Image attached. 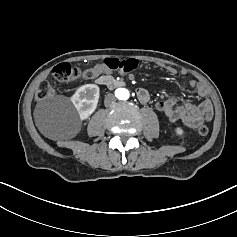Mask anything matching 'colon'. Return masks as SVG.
Listing matches in <instances>:
<instances>
[{
  "instance_id": "obj_1",
  "label": "colon",
  "mask_w": 237,
  "mask_h": 237,
  "mask_svg": "<svg viewBox=\"0 0 237 237\" xmlns=\"http://www.w3.org/2000/svg\"><path fill=\"white\" fill-rule=\"evenodd\" d=\"M101 63H103L110 70L118 71L123 74L131 73L135 71L139 62L136 59H117V58H106ZM82 75L79 68L73 67L70 64L63 63L55 67L52 73V82L58 83H70L77 80ZM54 94V89L51 82H42L36 92V98L39 101L45 100ZM200 135L205 136L209 132V128L206 125H201L198 128Z\"/></svg>"
}]
</instances>
